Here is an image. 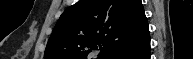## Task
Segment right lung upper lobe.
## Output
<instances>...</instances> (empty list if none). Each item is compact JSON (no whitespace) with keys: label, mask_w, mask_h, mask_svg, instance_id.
Wrapping results in <instances>:
<instances>
[{"label":"right lung upper lobe","mask_w":193,"mask_h":59,"mask_svg":"<svg viewBox=\"0 0 193 59\" xmlns=\"http://www.w3.org/2000/svg\"><path fill=\"white\" fill-rule=\"evenodd\" d=\"M147 32L141 0H80L60 16L44 59H87L96 45L109 59Z\"/></svg>","instance_id":"obj_1"}]
</instances>
